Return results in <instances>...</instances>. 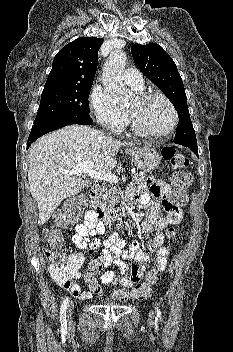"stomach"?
Here are the masks:
<instances>
[{
    "instance_id": "obj_1",
    "label": "stomach",
    "mask_w": 233,
    "mask_h": 352,
    "mask_svg": "<svg viewBox=\"0 0 233 352\" xmlns=\"http://www.w3.org/2000/svg\"><path fill=\"white\" fill-rule=\"evenodd\" d=\"M134 165L144 172L157 168L161 162L160 154L150 147H139L127 151Z\"/></svg>"
}]
</instances>
